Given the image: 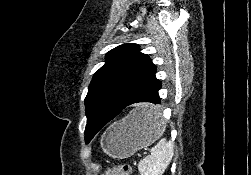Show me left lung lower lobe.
Listing matches in <instances>:
<instances>
[{"instance_id":"obj_1","label":"left lung lower lobe","mask_w":251,"mask_h":175,"mask_svg":"<svg viewBox=\"0 0 251 175\" xmlns=\"http://www.w3.org/2000/svg\"><path fill=\"white\" fill-rule=\"evenodd\" d=\"M156 68L136 86L129 100L124 104L110 103L95 111L94 116L104 126L115 118L127 117L135 120H154L162 116L163 110L158 91L161 82L156 79Z\"/></svg>"}]
</instances>
